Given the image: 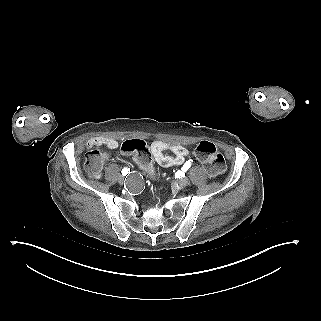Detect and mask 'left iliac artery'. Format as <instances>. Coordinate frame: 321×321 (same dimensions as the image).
I'll list each match as a JSON object with an SVG mask.
<instances>
[{"mask_svg": "<svg viewBox=\"0 0 321 321\" xmlns=\"http://www.w3.org/2000/svg\"><path fill=\"white\" fill-rule=\"evenodd\" d=\"M190 166H191V163H190L189 161H187V162L183 165L182 170H183V171H187V170L190 168Z\"/></svg>", "mask_w": 321, "mask_h": 321, "instance_id": "obj_1", "label": "left iliac artery"}]
</instances>
